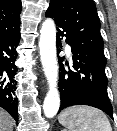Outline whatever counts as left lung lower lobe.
Segmentation results:
<instances>
[{"label":"left lung lower lobe","instance_id":"1","mask_svg":"<svg viewBox=\"0 0 117 131\" xmlns=\"http://www.w3.org/2000/svg\"><path fill=\"white\" fill-rule=\"evenodd\" d=\"M46 17H52L57 25V47L61 38L71 46L73 53L72 68H64L63 58L60 57V94L61 106L59 112L73 105H88L104 111L113 119V109L107 94V77L105 67L91 59L88 54L78 48L72 41L69 32L60 21L49 12ZM58 53L60 49L57 50Z\"/></svg>","mask_w":117,"mask_h":131}]
</instances>
